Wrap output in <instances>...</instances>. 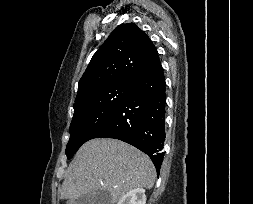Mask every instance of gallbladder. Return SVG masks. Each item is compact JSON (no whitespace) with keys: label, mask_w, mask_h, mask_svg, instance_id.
Listing matches in <instances>:
<instances>
[{"label":"gallbladder","mask_w":253,"mask_h":204,"mask_svg":"<svg viewBox=\"0 0 253 204\" xmlns=\"http://www.w3.org/2000/svg\"><path fill=\"white\" fill-rule=\"evenodd\" d=\"M107 191H96L79 197L76 204H111Z\"/></svg>","instance_id":"obj_1"}]
</instances>
